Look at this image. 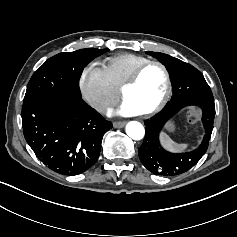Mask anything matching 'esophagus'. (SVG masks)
Instances as JSON below:
<instances>
[{"instance_id":"obj_1","label":"esophagus","mask_w":237,"mask_h":237,"mask_svg":"<svg viewBox=\"0 0 237 237\" xmlns=\"http://www.w3.org/2000/svg\"><path fill=\"white\" fill-rule=\"evenodd\" d=\"M126 124L125 121H116L113 123L114 128H122Z\"/></svg>"}]
</instances>
